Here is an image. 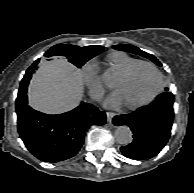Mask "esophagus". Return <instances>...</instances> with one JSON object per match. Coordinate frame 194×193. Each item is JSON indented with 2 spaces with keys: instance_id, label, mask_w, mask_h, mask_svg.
Listing matches in <instances>:
<instances>
[{
  "instance_id": "obj_1",
  "label": "esophagus",
  "mask_w": 194,
  "mask_h": 193,
  "mask_svg": "<svg viewBox=\"0 0 194 193\" xmlns=\"http://www.w3.org/2000/svg\"><path fill=\"white\" fill-rule=\"evenodd\" d=\"M116 114L114 112H107L106 113V116H107V121L108 122H111L113 117L115 116Z\"/></svg>"
}]
</instances>
